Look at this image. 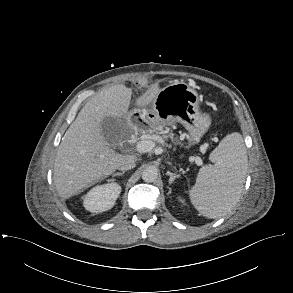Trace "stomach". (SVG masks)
<instances>
[{
  "label": "stomach",
  "mask_w": 293,
  "mask_h": 293,
  "mask_svg": "<svg viewBox=\"0 0 293 293\" xmlns=\"http://www.w3.org/2000/svg\"><path fill=\"white\" fill-rule=\"evenodd\" d=\"M135 113L154 130L181 123L189 132L190 144L199 142L211 125L210 116L200 112L198 93L185 82H174L162 88L151 109Z\"/></svg>",
  "instance_id": "stomach-1"
}]
</instances>
